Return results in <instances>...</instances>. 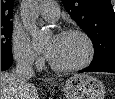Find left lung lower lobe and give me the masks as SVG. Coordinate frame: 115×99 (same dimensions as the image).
<instances>
[{
    "mask_svg": "<svg viewBox=\"0 0 115 99\" xmlns=\"http://www.w3.org/2000/svg\"><path fill=\"white\" fill-rule=\"evenodd\" d=\"M79 72H111L115 73V61L105 62L99 65H91Z\"/></svg>",
    "mask_w": 115,
    "mask_h": 99,
    "instance_id": "1",
    "label": "left lung lower lobe"
}]
</instances>
